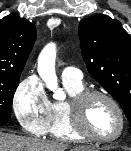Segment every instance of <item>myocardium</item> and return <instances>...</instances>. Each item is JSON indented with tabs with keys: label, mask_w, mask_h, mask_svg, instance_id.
<instances>
[{
	"label": "myocardium",
	"mask_w": 131,
	"mask_h": 151,
	"mask_svg": "<svg viewBox=\"0 0 131 151\" xmlns=\"http://www.w3.org/2000/svg\"><path fill=\"white\" fill-rule=\"evenodd\" d=\"M103 98L107 100L116 110L120 126L118 132L112 137H101L90 131L87 125V110L89 103L94 98ZM70 117L73 129L84 139L99 142V143H113L117 141L124 133L126 126V118L120 103L106 91L99 89H84L69 101Z\"/></svg>",
	"instance_id": "f54148a6"
}]
</instances>
